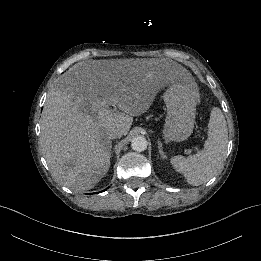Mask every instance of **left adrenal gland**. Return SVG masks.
<instances>
[{
	"label": "left adrenal gland",
	"instance_id": "left-adrenal-gland-1",
	"mask_svg": "<svg viewBox=\"0 0 261 261\" xmlns=\"http://www.w3.org/2000/svg\"><path fill=\"white\" fill-rule=\"evenodd\" d=\"M157 143H158V149H159V154L161 155V158H162V159L167 158V156H166V155L164 154V152H163V148H162V143H161V141L158 140Z\"/></svg>",
	"mask_w": 261,
	"mask_h": 261
}]
</instances>
